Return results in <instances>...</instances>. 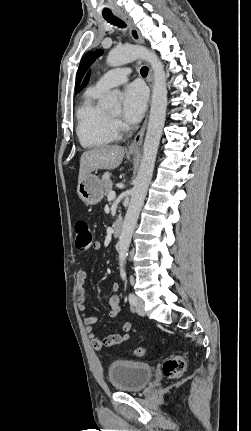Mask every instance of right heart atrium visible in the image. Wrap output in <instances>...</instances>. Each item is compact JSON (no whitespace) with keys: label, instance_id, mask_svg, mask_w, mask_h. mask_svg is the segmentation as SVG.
<instances>
[{"label":"right heart atrium","instance_id":"1","mask_svg":"<svg viewBox=\"0 0 251 431\" xmlns=\"http://www.w3.org/2000/svg\"><path fill=\"white\" fill-rule=\"evenodd\" d=\"M116 126H117V127H122V124H121L120 122H117V123H116Z\"/></svg>","mask_w":251,"mask_h":431}]
</instances>
